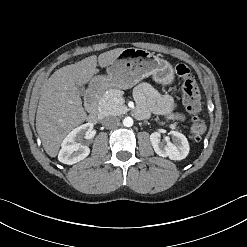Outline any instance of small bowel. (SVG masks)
<instances>
[{
	"mask_svg": "<svg viewBox=\"0 0 247 247\" xmlns=\"http://www.w3.org/2000/svg\"><path fill=\"white\" fill-rule=\"evenodd\" d=\"M134 97L138 104L136 114L143 118L150 112L167 117H173L175 108L173 99L168 95L160 94L150 83H141L134 90Z\"/></svg>",
	"mask_w": 247,
	"mask_h": 247,
	"instance_id": "small-bowel-1",
	"label": "small bowel"
}]
</instances>
